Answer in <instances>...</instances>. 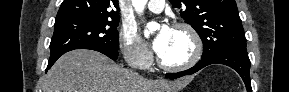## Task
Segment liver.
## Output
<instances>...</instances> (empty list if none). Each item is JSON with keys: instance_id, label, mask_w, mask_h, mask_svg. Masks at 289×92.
Returning a JSON list of instances; mask_svg holds the SVG:
<instances>
[{"instance_id": "liver-1", "label": "liver", "mask_w": 289, "mask_h": 92, "mask_svg": "<svg viewBox=\"0 0 289 92\" xmlns=\"http://www.w3.org/2000/svg\"><path fill=\"white\" fill-rule=\"evenodd\" d=\"M186 80L153 81L116 65L105 55L77 49L62 55L43 80V92H166Z\"/></svg>"}]
</instances>
